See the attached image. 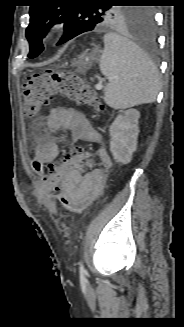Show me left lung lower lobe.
Wrapping results in <instances>:
<instances>
[{"instance_id":"obj_1","label":"left lung lower lobe","mask_w":184,"mask_h":327,"mask_svg":"<svg viewBox=\"0 0 184 327\" xmlns=\"http://www.w3.org/2000/svg\"><path fill=\"white\" fill-rule=\"evenodd\" d=\"M149 11V10H148ZM79 35V34H77ZM71 34V31H65L58 44L67 42L68 40L77 36ZM136 42L139 45V49L147 54L155 55L158 50L157 38H156V24L153 14L149 11L146 16L135 28Z\"/></svg>"}]
</instances>
